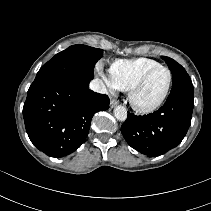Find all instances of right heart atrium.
<instances>
[{
	"mask_svg": "<svg viewBox=\"0 0 211 211\" xmlns=\"http://www.w3.org/2000/svg\"><path fill=\"white\" fill-rule=\"evenodd\" d=\"M103 77H104V80H105V82H106V85H107L109 91H110L111 93H114V92L116 91L117 88H116L115 85L113 84L111 78H110V77H105V76H103Z\"/></svg>",
	"mask_w": 211,
	"mask_h": 211,
	"instance_id": "d8ad5b80",
	"label": "right heart atrium"
}]
</instances>
